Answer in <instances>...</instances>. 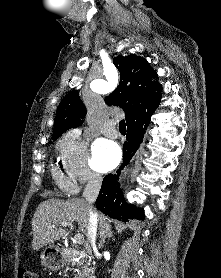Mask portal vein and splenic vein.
Masks as SVG:
<instances>
[{
    "label": "portal vein and splenic vein",
    "instance_id": "1",
    "mask_svg": "<svg viewBox=\"0 0 221 278\" xmlns=\"http://www.w3.org/2000/svg\"><path fill=\"white\" fill-rule=\"evenodd\" d=\"M61 226H63V227H67V226L69 227L70 226L71 228H73V225L70 222H62ZM74 240L78 244L84 243V237L80 233L75 234Z\"/></svg>",
    "mask_w": 221,
    "mask_h": 278
}]
</instances>
